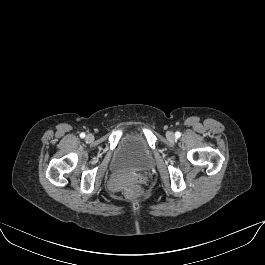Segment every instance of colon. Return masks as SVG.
I'll use <instances>...</instances> for the list:
<instances>
[{"label": "colon", "instance_id": "colon-1", "mask_svg": "<svg viewBox=\"0 0 265 265\" xmlns=\"http://www.w3.org/2000/svg\"><path fill=\"white\" fill-rule=\"evenodd\" d=\"M125 196L129 199H135L139 196V190L136 187H128L125 190Z\"/></svg>", "mask_w": 265, "mask_h": 265}]
</instances>
